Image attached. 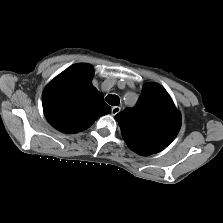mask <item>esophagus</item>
I'll list each match as a JSON object with an SVG mask.
<instances>
[{"label":"esophagus","mask_w":223,"mask_h":223,"mask_svg":"<svg viewBox=\"0 0 223 223\" xmlns=\"http://www.w3.org/2000/svg\"><path fill=\"white\" fill-rule=\"evenodd\" d=\"M120 111H121V107H119V106H114V107H112V109H111V113H112V115H116V114H118Z\"/></svg>","instance_id":"34e87169"}]
</instances>
